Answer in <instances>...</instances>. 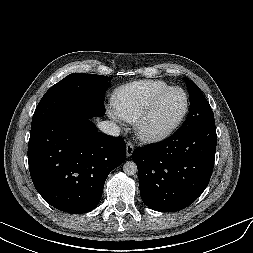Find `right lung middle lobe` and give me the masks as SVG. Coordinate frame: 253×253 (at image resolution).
<instances>
[{
  "label": "right lung middle lobe",
  "instance_id": "dd1d6c3e",
  "mask_svg": "<svg viewBox=\"0 0 253 253\" xmlns=\"http://www.w3.org/2000/svg\"><path fill=\"white\" fill-rule=\"evenodd\" d=\"M109 77L73 73L53 85L37 105L31 128L65 115L103 116V93Z\"/></svg>",
  "mask_w": 253,
  "mask_h": 253
}]
</instances>
